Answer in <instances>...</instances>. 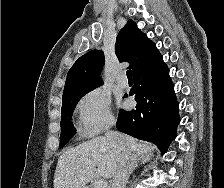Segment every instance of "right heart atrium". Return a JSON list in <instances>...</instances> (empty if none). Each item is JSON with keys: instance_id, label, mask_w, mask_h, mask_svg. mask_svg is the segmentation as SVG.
Masks as SVG:
<instances>
[{"instance_id": "1", "label": "right heart atrium", "mask_w": 224, "mask_h": 188, "mask_svg": "<svg viewBox=\"0 0 224 188\" xmlns=\"http://www.w3.org/2000/svg\"><path fill=\"white\" fill-rule=\"evenodd\" d=\"M77 111L85 135L93 137L115 124L110 98L99 90L86 93L77 104Z\"/></svg>"}]
</instances>
